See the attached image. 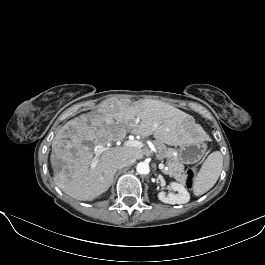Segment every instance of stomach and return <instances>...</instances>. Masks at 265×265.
<instances>
[{
    "label": "stomach",
    "mask_w": 265,
    "mask_h": 265,
    "mask_svg": "<svg viewBox=\"0 0 265 265\" xmlns=\"http://www.w3.org/2000/svg\"><path fill=\"white\" fill-rule=\"evenodd\" d=\"M204 153L205 148L203 144L192 137V141L180 146L179 159L184 164H193L198 162Z\"/></svg>",
    "instance_id": "1"
}]
</instances>
